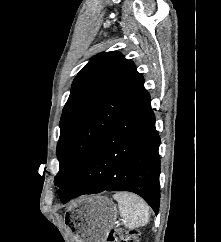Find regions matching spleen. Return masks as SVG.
Instances as JSON below:
<instances>
[{"label":"spleen","mask_w":221,"mask_h":242,"mask_svg":"<svg viewBox=\"0 0 221 242\" xmlns=\"http://www.w3.org/2000/svg\"><path fill=\"white\" fill-rule=\"evenodd\" d=\"M118 202L120 215L126 227L135 229L149 222L150 211L143 199L133 193L118 192L113 195Z\"/></svg>","instance_id":"spleen-1"}]
</instances>
